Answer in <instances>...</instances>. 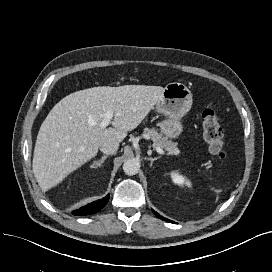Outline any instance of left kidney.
Instances as JSON below:
<instances>
[{"label":"left kidney","instance_id":"obj_1","mask_svg":"<svg viewBox=\"0 0 272 272\" xmlns=\"http://www.w3.org/2000/svg\"><path fill=\"white\" fill-rule=\"evenodd\" d=\"M170 177L172 179V182L179 185V186H184L186 185L187 187H191V182L187 180L184 176H182L178 171H172L170 173Z\"/></svg>","mask_w":272,"mask_h":272}]
</instances>
